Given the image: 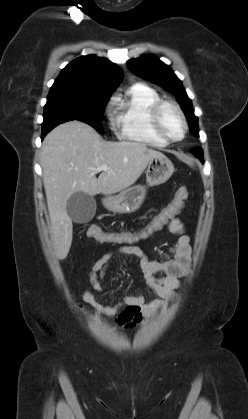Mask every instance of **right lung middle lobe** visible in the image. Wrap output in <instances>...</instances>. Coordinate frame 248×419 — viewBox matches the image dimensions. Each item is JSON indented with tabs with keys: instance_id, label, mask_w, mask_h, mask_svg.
Instances as JSON below:
<instances>
[{
	"instance_id": "obj_1",
	"label": "right lung middle lobe",
	"mask_w": 248,
	"mask_h": 419,
	"mask_svg": "<svg viewBox=\"0 0 248 419\" xmlns=\"http://www.w3.org/2000/svg\"><path fill=\"white\" fill-rule=\"evenodd\" d=\"M109 96L70 89H50L44 106L42 127L77 119L102 133V114Z\"/></svg>"
}]
</instances>
